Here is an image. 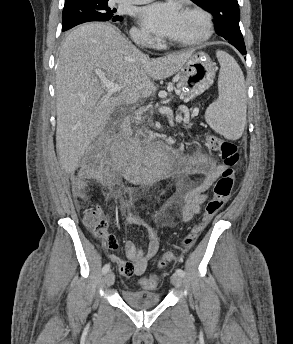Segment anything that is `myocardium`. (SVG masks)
<instances>
[{
  "label": "myocardium",
  "instance_id": "f54148a6",
  "mask_svg": "<svg viewBox=\"0 0 293 344\" xmlns=\"http://www.w3.org/2000/svg\"><path fill=\"white\" fill-rule=\"evenodd\" d=\"M183 13L197 15L202 22V31L194 38L182 41H171L170 44L176 47H194L208 41L211 38L214 30L211 14L199 6H188L183 9Z\"/></svg>",
  "mask_w": 293,
  "mask_h": 344
}]
</instances>
